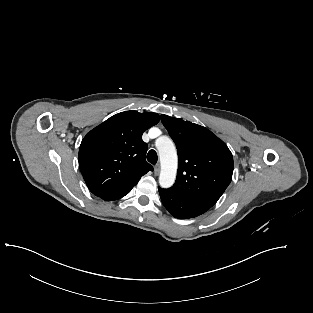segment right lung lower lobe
<instances>
[{
	"instance_id": "98d812e1",
	"label": "right lung lower lobe",
	"mask_w": 313,
	"mask_h": 313,
	"mask_svg": "<svg viewBox=\"0 0 313 313\" xmlns=\"http://www.w3.org/2000/svg\"><path fill=\"white\" fill-rule=\"evenodd\" d=\"M133 187H134V186H129V187H126V188H124V189H120V190H118V191L105 194V195L101 196V198H102L103 200H106V201H113V200L120 199V198H122L123 196H125L126 194H128V193L131 191V189H132Z\"/></svg>"
}]
</instances>
